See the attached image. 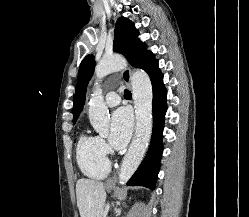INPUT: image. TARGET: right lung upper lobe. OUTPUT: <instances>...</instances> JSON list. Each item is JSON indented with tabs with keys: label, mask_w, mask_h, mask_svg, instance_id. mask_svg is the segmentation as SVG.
<instances>
[{
	"label": "right lung upper lobe",
	"mask_w": 249,
	"mask_h": 217,
	"mask_svg": "<svg viewBox=\"0 0 249 217\" xmlns=\"http://www.w3.org/2000/svg\"><path fill=\"white\" fill-rule=\"evenodd\" d=\"M82 105H81V100L79 98V94H78V89L76 88V93L74 95V106H73V122L75 123V121L78 118V110L81 109L82 110Z\"/></svg>",
	"instance_id": "cb5924a9"
}]
</instances>
